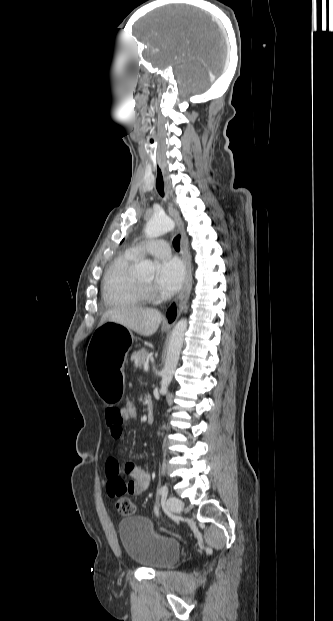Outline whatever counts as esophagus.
Instances as JSON below:
<instances>
[{
	"mask_svg": "<svg viewBox=\"0 0 333 621\" xmlns=\"http://www.w3.org/2000/svg\"><path fill=\"white\" fill-rule=\"evenodd\" d=\"M155 189L158 195L160 196V198L164 202H167V200L169 199V188L167 184L165 183L164 175L161 170L156 171ZM168 210H169L170 215L175 220L177 227H178V231L181 236V254H182V259L186 266V279H185L184 289L181 292L179 298L175 302H173L167 310L166 317L163 320L164 326L174 325V323L180 316L181 312L183 311L184 307L186 306V303L189 299L191 288H192L191 261H190V255L188 252L187 237L185 235L183 225H182V222H181V219H180V216L177 210L171 207H169Z\"/></svg>",
	"mask_w": 333,
	"mask_h": 621,
	"instance_id": "esophagus-1",
	"label": "esophagus"
}]
</instances>
